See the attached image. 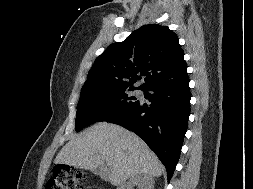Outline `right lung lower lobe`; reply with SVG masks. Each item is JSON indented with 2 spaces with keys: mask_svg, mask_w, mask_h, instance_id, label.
<instances>
[{
  "mask_svg": "<svg viewBox=\"0 0 253 189\" xmlns=\"http://www.w3.org/2000/svg\"><path fill=\"white\" fill-rule=\"evenodd\" d=\"M144 96L151 102L149 107L138 102L106 121L128 128L142 138L166 167L169 182L180 157L190 115L188 75L151 86Z\"/></svg>",
  "mask_w": 253,
  "mask_h": 189,
  "instance_id": "obj_1",
  "label": "right lung lower lobe"
}]
</instances>
